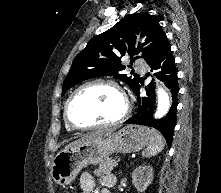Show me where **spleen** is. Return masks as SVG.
I'll return each instance as SVG.
<instances>
[{
	"instance_id": "obj_1",
	"label": "spleen",
	"mask_w": 221,
	"mask_h": 193,
	"mask_svg": "<svg viewBox=\"0 0 221 193\" xmlns=\"http://www.w3.org/2000/svg\"><path fill=\"white\" fill-rule=\"evenodd\" d=\"M150 143L147 148L142 152V156L149 158L157 155L164 149V139L162 135L155 129L150 130Z\"/></svg>"
}]
</instances>
